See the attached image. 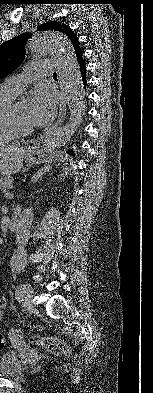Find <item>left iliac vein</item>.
<instances>
[{
    "instance_id": "obj_1",
    "label": "left iliac vein",
    "mask_w": 153,
    "mask_h": 393,
    "mask_svg": "<svg viewBox=\"0 0 153 393\" xmlns=\"http://www.w3.org/2000/svg\"><path fill=\"white\" fill-rule=\"evenodd\" d=\"M31 296H32V289H31V287H29L26 290V293L24 294L23 307L26 308L27 310H30V311L33 310V304H32Z\"/></svg>"
}]
</instances>
